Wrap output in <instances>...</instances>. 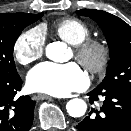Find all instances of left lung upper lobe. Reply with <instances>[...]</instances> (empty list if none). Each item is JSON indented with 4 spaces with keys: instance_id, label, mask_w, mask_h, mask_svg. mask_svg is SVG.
Instances as JSON below:
<instances>
[{
    "instance_id": "left-lung-upper-lobe-1",
    "label": "left lung upper lobe",
    "mask_w": 131,
    "mask_h": 131,
    "mask_svg": "<svg viewBox=\"0 0 131 131\" xmlns=\"http://www.w3.org/2000/svg\"><path fill=\"white\" fill-rule=\"evenodd\" d=\"M77 14L97 22L109 46L106 77L98 87L131 90V27L119 17L101 10L83 9Z\"/></svg>"
}]
</instances>
